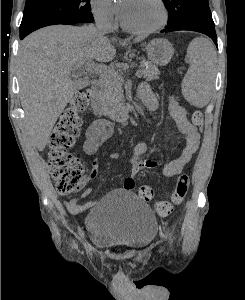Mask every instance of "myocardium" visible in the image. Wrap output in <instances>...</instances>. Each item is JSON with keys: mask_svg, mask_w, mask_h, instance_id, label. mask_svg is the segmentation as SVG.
Segmentation results:
<instances>
[{"mask_svg": "<svg viewBox=\"0 0 245 300\" xmlns=\"http://www.w3.org/2000/svg\"><path fill=\"white\" fill-rule=\"evenodd\" d=\"M157 3L160 5V7L162 9V13H163L162 21L158 25L150 27V28L133 27V26L128 25L124 21L122 14H120V23H121L122 28L129 32L136 33V34H150V33H154V32H157V31L163 29L168 23L169 12H168V9H167V6H166L164 0H157Z\"/></svg>", "mask_w": 245, "mask_h": 300, "instance_id": "f54148a6", "label": "myocardium"}]
</instances>
